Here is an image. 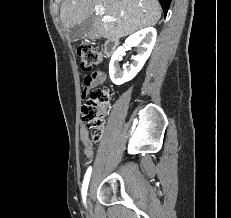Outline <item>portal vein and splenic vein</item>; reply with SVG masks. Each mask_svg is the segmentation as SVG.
I'll use <instances>...</instances> for the list:
<instances>
[{
  "mask_svg": "<svg viewBox=\"0 0 231 218\" xmlns=\"http://www.w3.org/2000/svg\"><path fill=\"white\" fill-rule=\"evenodd\" d=\"M95 11L99 14H104V7L102 5H95ZM105 18H107L109 21H113V22L117 21V19L115 18H111L107 16Z\"/></svg>",
  "mask_w": 231,
  "mask_h": 218,
  "instance_id": "1",
  "label": "portal vein and splenic vein"
}]
</instances>
